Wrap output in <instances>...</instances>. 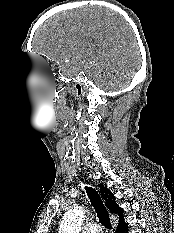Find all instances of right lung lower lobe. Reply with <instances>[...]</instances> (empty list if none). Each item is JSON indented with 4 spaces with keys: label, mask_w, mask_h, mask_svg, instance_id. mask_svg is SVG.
Returning a JSON list of instances; mask_svg holds the SVG:
<instances>
[{
    "label": "right lung lower lobe",
    "mask_w": 174,
    "mask_h": 233,
    "mask_svg": "<svg viewBox=\"0 0 174 233\" xmlns=\"http://www.w3.org/2000/svg\"><path fill=\"white\" fill-rule=\"evenodd\" d=\"M127 232V225L123 226L122 228H117L116 233H126Z\"/></svg>",
    "instance_id": "right-lung-lower-lobe-1"
}]
</instances>
